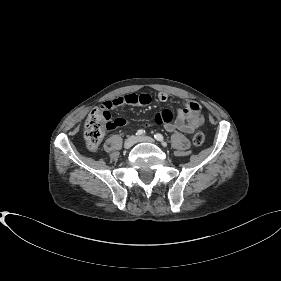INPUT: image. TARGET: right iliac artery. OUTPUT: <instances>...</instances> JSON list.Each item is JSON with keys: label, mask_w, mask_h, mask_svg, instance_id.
Masks as SVG:
<instances>
[{"label": "right iliac artery", "mask_w": 281, "mask_h": 281, "mask_svg": "<svg viewBox=\"0 0 281 281\" xmlns=\"http://www.w3.org/2000/svg\"><path fill=\"white\" fill-rule=\"evenodd\" d=\"M145 134V131L144 130H138L137 132H136V135L137 136H142V135H144Z\"/></svg>", "instance_id": "right-iliac-artery-1"}]
</instances>
